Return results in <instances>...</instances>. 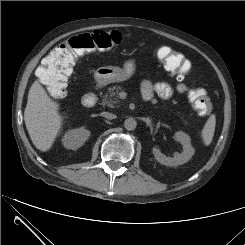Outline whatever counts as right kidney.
<instances>
[{"instance_id":"right-kidney-1","label":"right kidney","mask_w":245,"mask_h":245,"mask_svg":"<svg viewBox=\"0 0 245 245\" xmlns=\"http://www.w3.org/2000/svg\"><path fill=\"white\" fill-rule=\"evenodd\" d=\"M90 136V131L81 127L67 131L63 138V146L67 149H78L80 148Z\"/></svg>"}]
</instances>
